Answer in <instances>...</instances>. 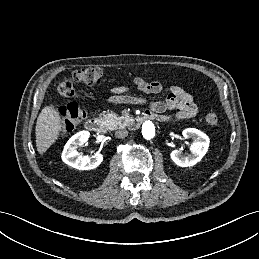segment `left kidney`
Returning a JSON list of instances; mask_svg holds the SVG:
<instances>
[{
  "label": "left kidney",
  "mask_w": 259,
  "mask_h": 259,
  "mask_svg": "<svg viewBox=\"0 0 259 259\" xmlns=\"http://www.w3.org/2000/svg\"><path fill=\"white\" fill-rule=\"evenodd\" d=\"M182 135L185 139H193L190 146L191 154L183 156L180 151L174 150L170 156L173 162L180 167H190L198 163L206 154L209 147L208 136L196 128L184 129Z\"/></svg>",
  "instance_id": "1"
}]
</instances>
